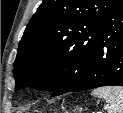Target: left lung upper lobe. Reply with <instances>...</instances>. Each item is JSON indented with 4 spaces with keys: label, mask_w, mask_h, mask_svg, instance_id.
<instances>
[{
    "label": "left lung upper lobe",
    "mask_w": 123,
    "mask_h": 113,
    "mask_svg": "<svg viewBox=\"0 0 123 113\" xmlns=\"http://www.w3.org/2000/svg\"><path fill=\"white\" fill-rule=\"evenodd\" d=\"M115 0H43L14 62L15 88L36 85L58 96L83 79L103 17Z\"/></svg>",
    "instance_id": "1"
}]
</instances>
